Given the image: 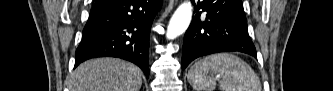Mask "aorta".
<instances>
[{
  "label": "aorta",
  "mask_w": 333,
  "mask_h": 91,
  "mask_svg": "<svg viewBox=\"0 0 333 91\" xmlns=\"http://www.w3.org/2000/svg\"><path fill=\"white\" fill-rule=\"evenodd\" d=\"M191 19L192 5L189 1L184 2L177 8L170 19L166 34L167 39H175L183 34L187 30Z\"/></svg>",
  "instance_id": "1"
}]
</instances>
